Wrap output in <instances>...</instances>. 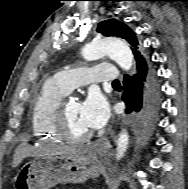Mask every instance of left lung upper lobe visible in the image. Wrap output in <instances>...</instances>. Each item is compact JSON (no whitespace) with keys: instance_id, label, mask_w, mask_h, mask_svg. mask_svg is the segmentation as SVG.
<instances>
[{"instance_id":"obj_1","label":"left lung upper lobe","mask_w":188,"mask_h":189,"mask_svg":"<svg viewBox=\"0 0 188 189\" xmlns=\"http://www.w3.org/2000/svg\"><path fill=\"white\" fill-rule=\"evenodd\" d=\"M97 31L105 36H116L125 39L132 47L136 62L145 60L141 52L138 50V40L135 33L124 23L116 19H109L98 25Z\"/></svg>"}]
</instances>
